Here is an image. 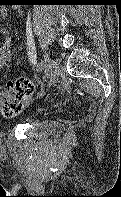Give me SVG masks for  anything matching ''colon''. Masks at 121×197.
<instances>
[{
	"label": "colon",
	"instance_id": "1",
	"mask_svg": "<svg viewBox=\"0 0 121 197\" xmlns=\"http://www.w3.org/2000/svg\"><path fill=\"white\" fill-rule=\"evenodd\" d=\"M34 92L31 80L20 78L0 86V112L6 118L18 116L25 108L28 97Z\"/></svg>",
	"mask_w": 121,
	"mask_h": 197
}]
</instances>
